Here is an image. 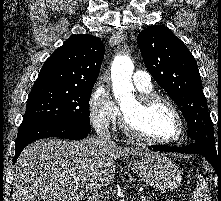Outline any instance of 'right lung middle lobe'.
<instances>
[{
  "instance_id": "dd1d6c3e",
  "label": "right lung middle lobe",
  "mask_w": 221,
  "mask_h": 201,
  "mask_svg": "<svg viewBox=\"0 0 221 201\" xmlns=\"http://www.w3.org/2000/svg\"><path fill=\"white\" fill-rule=\"evenodd\" d=\"M91 93L92 89L32 88L22 124L53 121L91 129L88 109Z\"/></svg>"
}]
</instances>
